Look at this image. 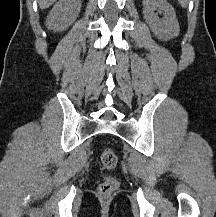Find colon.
Returning <instances> with one entry per match:
<instances>
[{
    "instance_id": "colon-1",
    "label": "colon",
    "mask_w": 216,
    "mask_h": 217,
    "mask_svg": "<svg viewBox=\"0 0 216 217\" xmlns=\"http://www.w3.org/2000/svg\"><path fill=\"white\" fill-rule=\"evenodd\" d=\"M99 165L104 170H111L117 167L118 158L114 150L105 148L99 156ZM119 186L118 180L114 177L105 178L98 186V194L101 198H109L117 190Z\"/></svg>"
}]
</instances>
